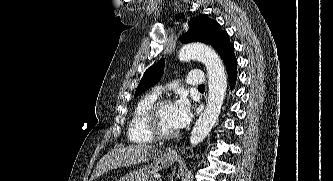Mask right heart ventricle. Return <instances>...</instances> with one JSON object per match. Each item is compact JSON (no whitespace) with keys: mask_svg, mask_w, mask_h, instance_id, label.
<instances>
[{"mask_svg":"<svg viewBox=\"0 0 333 181\" xmlns=\"http://www.w3.org/2000/svg\"><path fill=\"white\" fill-rule=\"evenodd\" d=\"M156 92H150L143 95L136 103L128 127V138L136 144H150L155 141L145 126V113L150 105L158 99Z\"/></svg>","mask_w":333,"mask_h":181,"instance_id":"obj_1","label":"right heart ventricle"}]
</instances>
